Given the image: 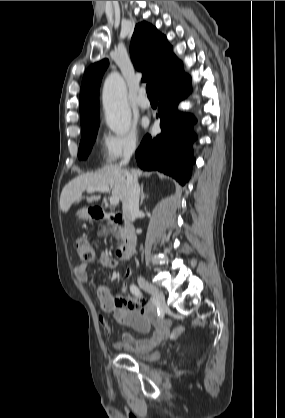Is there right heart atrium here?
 Segmentation results:
<instances>
[{"instance_id": "1", "label": "right heart atrium", "mask_w": 285, "mask_h": 418, "mask_svg": "<svg viewBox=\"0 0 285 418\" xmlns=\"http://www.w3.org/2000/svg\"><path fill=\"white\" fill-rule=\"evenodd\" d=\"M139 145V136L135 128L123 134H108L104 139L103 154L106 164H115L132 156Z\"/></svg>"}]
</instances>
